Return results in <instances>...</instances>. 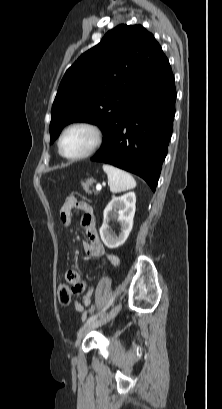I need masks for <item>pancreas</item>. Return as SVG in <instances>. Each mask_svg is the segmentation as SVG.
Listing matches in <instances>:
<instances>
[{
	"mask_svg": "<svg viewBox=\"0 0 222 409\" xmlns=\"http://www.w3.org/2000/svg\"><path fill=\"white\" fill-rule=\"evenodd\" d=\"M95 181L93 179H88L87 182H82V186L87 193H91L90 187Z\"/></svg>",
	"mask_w": 222,
	"mask_h": 409,
	"instance_id": "obj_1",
	"label": "pancreas"
}]
</instances>
